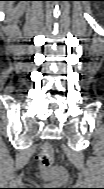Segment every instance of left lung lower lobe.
Instances as JSON below:
<instances>
[{"label":"left lung lower lobe","instance_id":"0a47b994","mask_svg":"<svg viewBox=\"0 0 104 189\" xmlns=\"http://www.w3.org/2000/svg\"><path fill=\"white\" fill-rule=\"evenodd\" d=\"M89 1H104V0H89Z\"/></svg>","mask_w":104,"mask_h":189}]
</instances>
